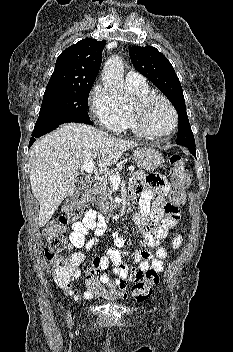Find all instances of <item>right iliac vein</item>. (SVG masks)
Listing matches in <instances>:
<instances>
[{
	"mask_svg": "<svg viewBox=\"0 0 233 352\" xmlns=\"http://www.w3.org/2000/svg\"><path fill=\"white\" fill-rule=\"evenodd\" d=\"M67 321H68L69 324L72 323V318H71V316L69 314H68V317H67Z\"/></svg>",
	"mask_w": 233,
	"mask_h": 352,
	"instance_id": "obj_1",
	"label": "right iliac vein"
}]
</instances>
